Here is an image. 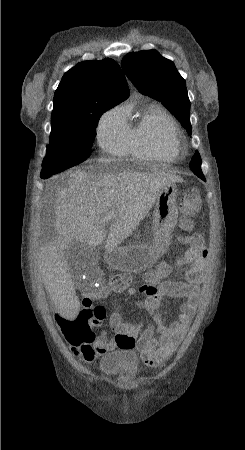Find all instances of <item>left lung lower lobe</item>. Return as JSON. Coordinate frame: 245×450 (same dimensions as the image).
Returning a JSON list of instances; mask_svg holds the SVG:
<instances>
[{"label":"left lung lower lobe","mask_w":245,"mask_h":450,"mask_svg":"<svg viewBox=\"0 0 245 450\" xmlns=\"http://www.w3.org/2000/svg\"><path fill=\"white\" fill-rule=\"evenodd\" d=\"M201 179L204 180V181H206V180H205V177H202Z\"/></svg>","instance_id":"1"}]
</instances>
